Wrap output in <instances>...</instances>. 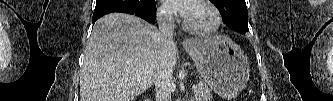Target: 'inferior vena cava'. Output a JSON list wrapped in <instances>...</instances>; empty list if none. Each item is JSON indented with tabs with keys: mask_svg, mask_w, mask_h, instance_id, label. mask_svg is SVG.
I'll use <instances>...</instances> for the list:
<instances>
[{
	"mask_svg": "<svg viewBox=\"0 0 333 101\" xmlns=\"http://www.w3.org/2000/svg\"><path fill=\"white\" fill-rule=\"evenodd\" d=\"M157 22L160 30L161 60L166 62V66H160L156 80V101H171L172 66L169 63L170 51L174 46L173 34L175 29L171 12L166 9L157 13Z\"/></svg>",
	"mask_w": 333,
	"mask_h": 101,
	"instance_id": "1",
	"label": "inferior vena cava"
}]
</instances>
